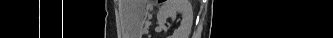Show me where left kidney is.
<instances>
[{"label":"left kidney","mask_w":333,"mask_h":38,"mask_svg":"<svg viewBox=\"0 0 333 38\" xmlns=\"http://www.w3.org/2000/svg\"><path fill=\"white\" fill-rule=\"evenodd\" d=\"M181 14L182 20L177 29L174 30L171 38H188L193 22V11L188 0H166L159 8L157 21L165 24L169 17Z\"/></svg>","instance_id":"obj_1"}]
</instances>
